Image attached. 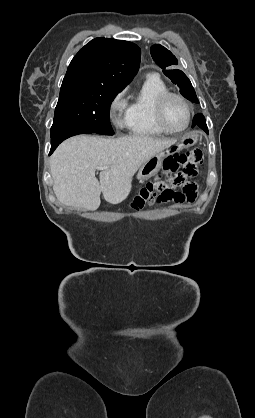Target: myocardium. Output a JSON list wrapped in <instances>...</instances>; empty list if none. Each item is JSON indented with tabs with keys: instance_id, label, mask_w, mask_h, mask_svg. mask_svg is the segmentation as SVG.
Wrapping results in <instances>:
<instances>
[{
	"instance_id": "obj_1",
	"label": "myocardium",
	"mask_w": 255,
	"mask_h": 418,
	"mask_svg": "<svg viewBox=\"0 0 255 418\" xmlns=\"http://www.w3.org/2000/svg\"><path fill=\"white\" fill-rule=\"evenodd\" d=\"M172 98H176L179 101H181L184 104V106L186 107V109H187V122L184 125V127L180 128V129H172V128H170L166 124V121H165V108H166V104ZM192 114H193V112H192V106H191V104L181 94L167 91V92L161 94L158 97V99L156 100V103H155V120H156L158 126L161 129H163L165 132H167V133L177 134V133H181V132L185 131L189 127V125H190V123L192 121Z\"/></svg>"
}]
</instances>
